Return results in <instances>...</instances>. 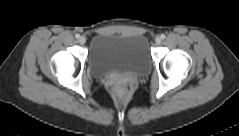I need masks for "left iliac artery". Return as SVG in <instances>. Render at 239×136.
Returning a JSON list of instances; mask_svg holds the SVG:
<instances>
[{
	"label": "left iliac artery",
	"instance_id": "obj_1",
	"mask_svg": "<svg viewBox=\"0 0 239 136\" xmlns=\"http://www.w3.org/2000/svg\"><path fill=\"white\" fill-rule=\"evenodd\" d=\"M161 39H165L166 38V36H165V34H161Z\"/></svg>",
	"mask_w": 239,
	"mask_h": 136
}]
</instances>
